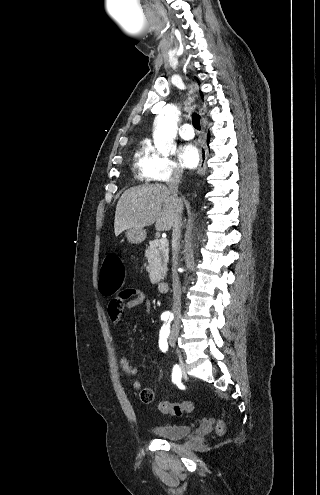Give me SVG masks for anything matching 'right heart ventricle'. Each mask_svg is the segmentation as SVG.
Masks as SVG:
<instances>
[{"label": "right heart ventricle", "instance_id": "right-heart-ventricle-1", "mask_svg": "<svg viewBox=\"0 0 320 495\" xmlns=\"http://www.w3.org/2000/svg\"><path fill=\"white\" fill-rule=\"evenodd\" d=\"M147 150L145 148H140L134 156V167L136 168L138 175L141 179H148V172L146 168L147 162Z\"/></svg>", "mask_w": 320, "mask_h": 495}]
</instances>
